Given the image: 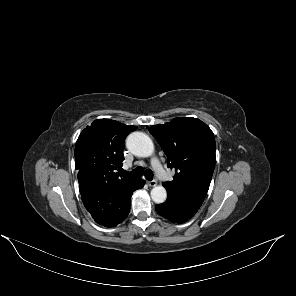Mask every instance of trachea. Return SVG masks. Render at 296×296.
<instances>
[{"mask_svg": "<svg viewBox=\"0 0 296 296\" xmlns=\"http://www.w3.org/2000/svg\"><path fill=\"white\" fill-rule=\"evenodd\" d=\"M130 173L135 176H143L144 175L148 181L153 180V172L150 169L144 170L143 167H136Z\"/></svg>", "mask_w": 296, "mask_h": 296, "instance_id": "trachea-1", "label": "trachea"}]
</instances>
